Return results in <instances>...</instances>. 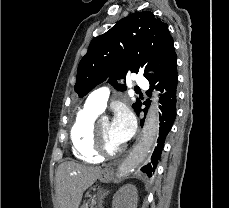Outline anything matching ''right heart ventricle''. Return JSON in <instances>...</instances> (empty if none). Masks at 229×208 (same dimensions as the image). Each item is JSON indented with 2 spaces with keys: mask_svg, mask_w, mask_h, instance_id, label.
Segmentation results:
<instances>
[{
  "mask_svg": "<svg viewBox=\"0 0 229 208\" xmlns=\"http://www.w3.org/2000/svg\"><path fill=\"white\" fill-rule=\"evenodd\" d=\"M99 113L86 106L81 109L71 126L69 133L70 147L73 157L83 163L98 162L101 158H97L92 152V144L97 143L93 135L94 121Z\"/></svg>",
  "mask_w": 229,
  "mask_h": 208,
  "instance_id": "obj_1",
  "label": "right heart ventricle"
}]
</instances>
